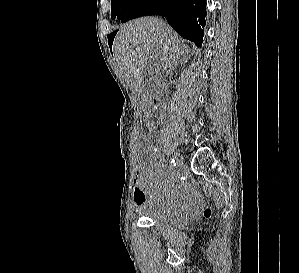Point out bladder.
Listing matches in <instances>:
<instances>
[{
    "label": "bladder",
    "mask_w": 299,
    "mask_h": 273,
    "mask_svg": "<svg viewBox=\"0 0 299 273\" xmlns=\"http://www.w3.org/2000/svg\"><path fill=\"white\" fill-rule=\"evenodd\" d=\"M142 216L162 228L174 227L182 221V216L174 213L163 214L156 211H146Z\"/></svg>",
    "instance_id": "obj_1"
}]
</instances>
